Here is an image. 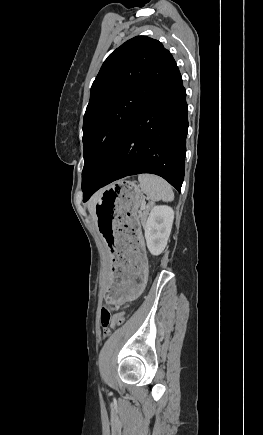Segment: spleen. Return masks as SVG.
<instances>
[{
	"label": "spleen",
	"mask_w": 263,
	"mask_h": 435,
	"mask_svg": "<svg viewBox=\"0 0 263 435\" xmlns=\"http://www.w3.org/2000/svg\"><path fill=\"white\" fill-rule=\"evenodd\" d=\"M141 190L153 201L171 202L174 198L170 184L153 174L138 175Z\"/></svg>",
	"instance_id": "1"
}]
</instances>
